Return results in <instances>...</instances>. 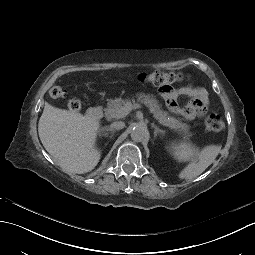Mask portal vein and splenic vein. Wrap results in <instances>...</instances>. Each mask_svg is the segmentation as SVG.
<instances>
[{"label":"portal vein and splenic vein","mask_w":255,"mask_h":255,"mask_svg":"<svg viewBox=\"0 0 255 255\" xmlns=\"http://www.w3.org/2000/svg\"><path fill=\"white\" fill-rule=\"evenodd\" d=\"M142 109V104H138L137 102H133L132 104L131 103H127L123 106V113L124 115L126 116L130 111L131 109Z\"/></svg>","instance_id":"portal-vein-and-splenic-vein-1"}]
</instances>
